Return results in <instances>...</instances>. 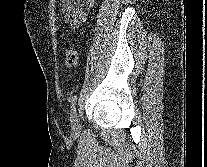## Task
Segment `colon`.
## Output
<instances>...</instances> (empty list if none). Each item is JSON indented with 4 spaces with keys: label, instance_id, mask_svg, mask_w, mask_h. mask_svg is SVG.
<instances>
[{
    "label": "colon",
    "instance_id": "5ec220e1",
    "mask_svg": "<svg viewBox=\"0 0 207 167\" xmlns=\"http://www.w3.org/2000/svg\"><path fill=\"white\" fill-rule=\"evenodd\" d=\"M79 54L75 48H71L66 51L64 59V67L66 69H71L78 64Z\"/></svg>",
    "mask_w": 207,
    "mask_h": 167
}]
</instances>
